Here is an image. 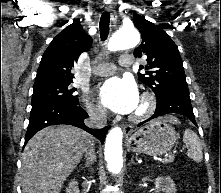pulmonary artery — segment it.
Returning <instances> with one entry per match:
<instances>
[{
  "label": "pulmonary artery",
  "instance_id": "e3ab8cb5",
  "mask_svg": "<svg viewBox=\"0 0 221 193\" xmlns=\"http://www.w3.org/2000/svg\"><path fill=\"white\" fill-rule=\"evenodd\" d=\"M133 64L132 60L129 56L124 55L119 58V65L122 67H129ZM116 71V66L111 63L104 64L100 66L97 70L94 71V75L96 76H109L114 74Z\"/></svg>",
  "mask_w": 221,
  "mask_h": 193
}]
</instances>
